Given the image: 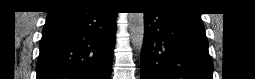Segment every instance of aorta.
Here are the masks:
<instances>
[{"label":"aorta","mask_w":255,"mask_h":79,"mask_svg":"<svg viewBox=\"0 0 255 79\" xmlns=\"http://www.w3.org/2000/svg\"><path fill=\"white\" fill-rule=\"evenodd\" d=\"M128 21L132 45L140 52L144 42V13H129Z\"/></svg>","instance_id":"aorta-1"}]
</instances>
